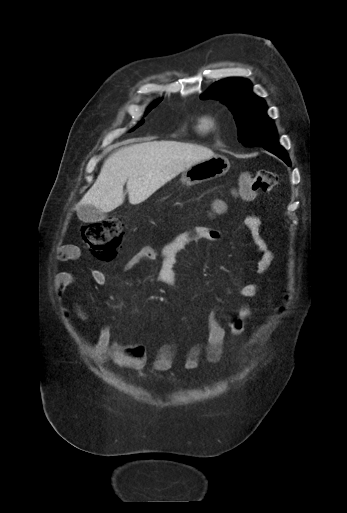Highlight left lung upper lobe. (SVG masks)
Returning <instances> with one entry per match:
<instances>
[{
  "mask_svg": "<svg viewBox=\"0 0 347 513\" xmlns=\"http://www.w3.org/2000/svg\"><path fill=\"white\" fill-rule=\"evenodd\" d=\"M251 88L246 79H225L214 83L201 98L218 99L230 108L238 126V140L244 146L275 147L279 145L276 127L266 114L265 101Z\"/></svg>",
  "mask_w": 347,
  "mask_h": 513,
  "instance_id": "5c2ea615",
  "label": "left lung upper lobe"
}]
</instances>
